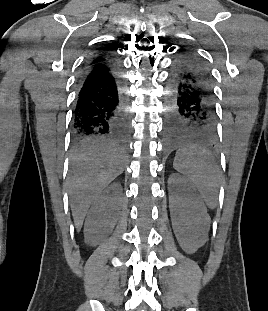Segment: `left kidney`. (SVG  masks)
<instances>
[{
    "instance_id": "1",
    "label": "left kidney",
    "mask_w": 268,
    "mask_h": 311,
    "mask_svg": "<svg viewBox=\"0 0 268 311\" xmlns=\"http://www.w3.org/2000/svg\"><path fill=\"white\" fill-rule=\"evenodd\" d=\"M169 208L175 236L188 254L195 253L208 237L210 218L194 185L173 173L168 179Z\"/></svg>"
}]
</instances>
